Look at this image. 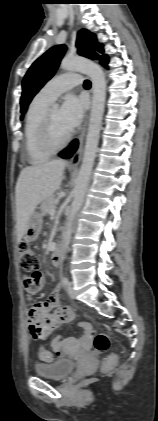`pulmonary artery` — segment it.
<instances>
[{"label":"pulmonary artery","mask_w":158,"mask_h":421,"mask_svg":"<svg viewBox=\"0 0 158 421\" xmlns=\"http://www.w3.org/2000/svg\"><path fill=\"white\" fill-rule=\"evenodd\" d=\"M81 83V77L74 72L60 74L47 82L39 91L38 95L49 101H54L62 93L72 89Z\"/></svg>","instance_id":"obj_1"}]
</instances>
